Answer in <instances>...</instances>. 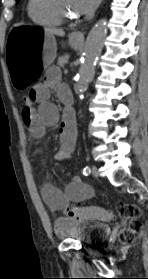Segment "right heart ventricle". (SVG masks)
I'll return each instance as SVG.
<instances>
[{"label": "right heart ventricle", "mask_w": 148, "mask_h": 279, "mask_svg": "<svg viewBox=\"0 0 148 279\" xmlns=\"http://www.w3.org/2000/svg\"><path fill=\"white\" fill-rule=\"evenodd\" d=\"M27 13L30 19L40 26H58L62 23L51 10L48 0H28Z\"/></svg>", "instance_id": "right-heart-ventricle-1"}]
</instances>
